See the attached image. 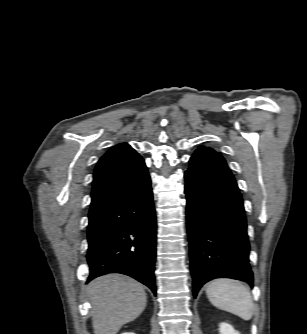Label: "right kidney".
I'll return each mask as SVG.
<instances>
[{"label": "right kidney", "mask_w": 307, "mask_h": 334, "mask_svg": "<svg viewBox=\"0 0 307 334\" xmlns=\"http://www.w3.org/2000/svg\"><path fill=\"white\" fill-rule=\"evenodd\" d=\"M121 334H135L133 332H124V333H121Z\"/></svg>", "instance_id": "1"}]
</instances>
